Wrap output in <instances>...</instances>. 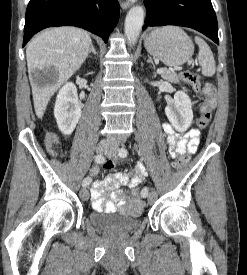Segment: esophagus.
Wrapping results in <instances>:
<instances>
[{
	"label": "esophagus",
	"mask_w": 247,
	"mask_h": 275,
	"mask_svg": "<svg viewBox=\"0 0 247 275\" xmlns=\"http://www.w3.org/2000/svg\"><path fill=\"white\" fill-rule=\"evenodd\" d=\"M120 5H121V7H122L123 10H126V9H128L131 6V3L130 2L121 1Z\"/></svg>",
	"instance_id": "esophagus-1"
}]
</instances>
